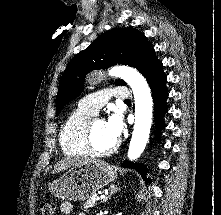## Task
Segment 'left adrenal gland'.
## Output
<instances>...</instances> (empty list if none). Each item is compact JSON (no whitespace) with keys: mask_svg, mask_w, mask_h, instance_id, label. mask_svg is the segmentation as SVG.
I'll return each mask as SVG.
<instances>
[{"mask_svg":"<svg viewBox=\"0 0 221 215\" xmlns=\"http://www.w3.org/2000/svg\"><path fill=\"white\" fill-rule=\"evenodd\" d=\"M120 190H121V188L118 187V185L112 184L111 187H110V194L105 199H103L102 202L107 201L108 198H110L113 194L117 193Z\"/></svg>","mask_w":221,"mask_h":215,"instance_id":"1","label":"left adrenal gland"}]
</instances>
